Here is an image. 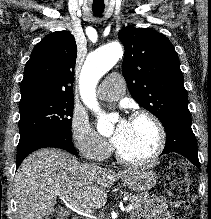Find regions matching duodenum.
<instances>
[{
  "instance_id": "410a0bca",
  "label": "duodenum",
  "mask_w": 211,
  "mask_h": 219,
  "mask_svg": "<svg viewBox=\"0 0 211 219\" xmlns=\"http://www.w3.org/2000/svg\"><path fill=\"white\" fill-rule=\"evenodd\" d=\"M70 219H78L77 217H70Z\"/></svg>"
}]
</instances>
